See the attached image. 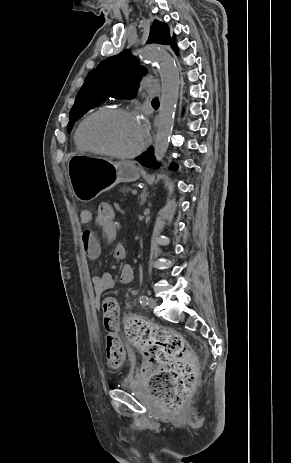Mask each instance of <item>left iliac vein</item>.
<instances>
[{"mask_svg":"<svg viewBox=\"0 0 291 463\" xmlns=\"http://www.w3.org/2000/svg\"><path fill=\"white\" fill-rule=\"evenodd\" d=\"M156 305H157V301L154 298H149L148 299V306L149 307L154 308V307H156Z\"/></svg>","mask_w":291,"mask_h":463,"instance_id":"obj_1","label":"left iliac vein"}]
</instances>
